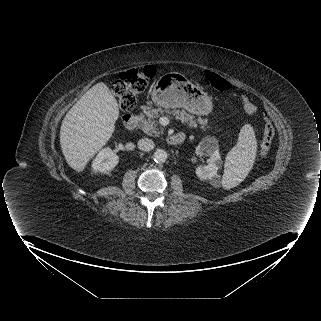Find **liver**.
<instances>
[{
	"label": "liver",
	"mask_w": 321,
	"mask_h": 321,
	"mask_svg": "<svg viewBox=\"0 0 321 321\" xmlns=\"http://www.w3.org/2000/svg\"><path fill=\"white\" fill-rule=\"evenodd\" d=\"M119 118L116 98L103 82L89 89L68 111L60 129V145L68 165L82 172L109 141Z\"/></svg>",
	"instance_id": "6515ba94"
}]
</instances>
